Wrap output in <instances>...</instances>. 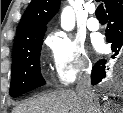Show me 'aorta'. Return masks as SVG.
Masks as SVG:
<instances>
[{
  "instance_id": "aorta-1",
  "label": "aorta",
  "mask_w": 123,
  "mask_h": 113,
  "mask_svg": "<svg viewBox=\"0 0 123 113\" xmlns=\"http://www.w3.org/2000/svg\"><path fill=\"white\" fill-rule=\"evenodd\" d=\"M75 26V14L70 6H66L61 13V27L65 31H71Z\"/></svg>"
}]
</instances>
